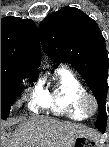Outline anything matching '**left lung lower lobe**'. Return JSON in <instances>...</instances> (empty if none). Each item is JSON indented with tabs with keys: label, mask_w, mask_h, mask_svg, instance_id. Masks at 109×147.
Returning a JSON list of instances; mask_svg holds the SVG:
<instances>
[{
	"label": "left lung lower lobe",
	"mask_w": 109,
	"mask_h": 147,
	"mask_svg": "<svg viewBox=\"0 0 109 147\" xmlns=\"http://www.w3.org/2000/svg\"><path fill=\"white\" fill-rule=\"evenodd\" d=\"M102 133H104L105 132V129H106V127L105 128H98Z\"/></svg>",
	"instance_id": "0a47b994"
}]
</instances>
